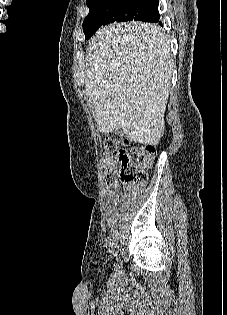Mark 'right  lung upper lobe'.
I'll return each instance as SVG.
<instances>
[{
  "mask_svg": "<svg viewBox=\"0 0 227 315\" xmlns=\"http://www.w3.org/2000/svg\"><path fill=\"white\" fill-rule=\"evenodd\" d=\"M86 1H88V2H89V1H94V0H86Z\"/></svg>",
  "mask_w": 227,
  "mask_h": 315,
  "instance_id": "right-lung-upper-lobe-1",
  "label": "right lung upper lobe"
}]
</instances>
